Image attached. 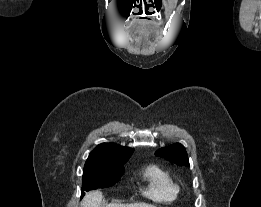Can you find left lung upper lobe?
Masks as SVG:
<instances>
[{"mask_svg":"<svg viewBox=\"0 0 261 207\" xmlns=\"http://www.w3.org/2000/svg\"><path fill=\"white\" fill-rule=\"evenodd\" d=\"M156 156H161L180 166H189L188 156L183 145L176 143L169 147L159 149Z\"/></svg>","mask_w":261,"mask_h":207,"instance_id":"left-lung-upper-lobe-1","label":"left lung upper lobe"}]
</instances>
